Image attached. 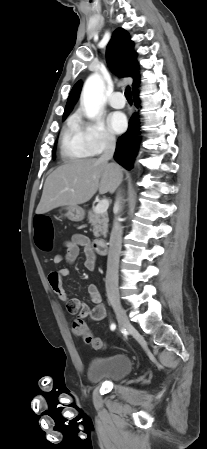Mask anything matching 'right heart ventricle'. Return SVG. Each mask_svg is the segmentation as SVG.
<instances>
[{
    "mask_svg": "<svg viewBox=\"0 0 207 449\" xmlns=\"http://www.w3.org/2000/svg\"><path fill=\"white\" fill-rule=\"evenodd\" d=\"M60 153L65 160H77L91 155L83 139L79 121L75 116L68 119L62 133Z\"/></svg>",
    "mask_w": 207,
    "mask_h": 449,
    "instance_id": "right-heart-ventricle-1",
    "label": "right heart ventricle"
}]
</instances>
